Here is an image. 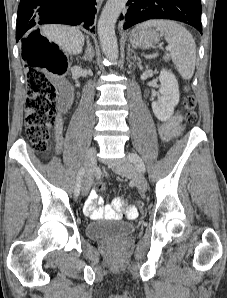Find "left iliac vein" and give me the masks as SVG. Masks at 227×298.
<instances>
[{
  "instance_id": "left-iliac-vein-1",
  "label": "left iliac vein",
  "mask_w": 227,
  "mask_h": 298,
  "mask_svg": "<svg viewBox=\"0 0 227 298\" xmlns=\"http://www.w3.org/2000/svg\"><path fill=\"white\" fill-rule=\"evenodd\" d=\"M113 170L120 175L132 177L141 192H145L147 190L148 184L145 176L136 169L131 161L127 160L118 164L113 167Z\"/></svg>"
}]
</instances>
